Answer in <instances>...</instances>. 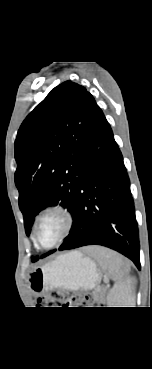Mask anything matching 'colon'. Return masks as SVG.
<instances>
[{"mask_svg": "<svg viewBox=\"0 0 152 369\" xmlns=\"http://www.w3.org/2000/svg\"><path fill=\"white\" fill-rule=\"evenodd\" d=\"M91 302L88 295L81 293L70 294L66 291L58 290L46 297H42L38 303L44 307H86Z\"/></svg>", "mask_w": 152, "mask_h": 369, "instance_id": "colon-1", "label": "colon"}]
</instances>
